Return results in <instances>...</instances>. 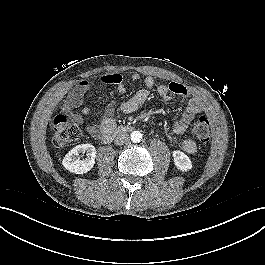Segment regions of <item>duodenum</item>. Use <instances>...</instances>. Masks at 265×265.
Wrapping results in <instances>:
<instances>
[{"label": "duodenum", "mask_w": 265, "mask_h": 265, "mask_svg": "<svg viewBox=\"0 0 265 265\" xmlns=\"http://www.w3.org/2000/svg\"><path fill=\"white\" fill-rule=\"evenodd\" d=\"M130 130H131V128L127 125H119L117 127H114L110 131L101 132L97 136V138H100L102 141L106 142V141L112 140L113 138H115L118 135L129 132Z\"/></svg>", "instance_id": "obj_1"}]
</instances>
